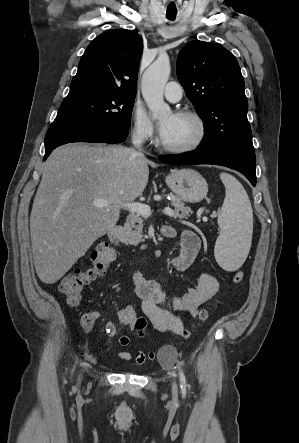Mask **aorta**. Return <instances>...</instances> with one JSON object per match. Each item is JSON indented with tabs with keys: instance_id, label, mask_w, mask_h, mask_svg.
<instances>
[{
	"instance_id": "obj_1",
	"label": "aorta",
	"mask_w": 299,
	"mask_h": 443,
	"mask_svg": "<svg viewBox=\"0 0 299 443\" xmlns=\"http://www.w3.org/2000/svg\"><path fill=\"white\" fill-rule=\"evenodd\" d=\"M170 72L169 57L160 55L143 74L141 91L154 119L165 118L171 114V109L163 98Z\"/></svg>"
}]
</instances>
